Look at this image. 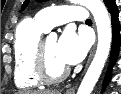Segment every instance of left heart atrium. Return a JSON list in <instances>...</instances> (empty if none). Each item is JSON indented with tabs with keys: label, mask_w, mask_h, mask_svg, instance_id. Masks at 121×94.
<instances>
[{
	"label": "left heart atrium",
	"mask_w": 121,
	"mask_h": 94,
	"mask_svg": "<svg viewBox=\"0 0 121 94\" xmlns=\"http://www.w3.org/2000/svg\"><path fill=\"white\" fill-rule=\"evenodd\" d=\"M87 41L72 30H66L57 42V54L66 65H75L83 60Z\"/></svg>",
	"instance_id": "obj_1"
}]
</instances>
